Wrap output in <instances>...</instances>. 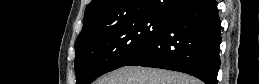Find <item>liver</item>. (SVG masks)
<instances>
[{"mask_svg":"<svg viewBox=\"0 0 260 84\" xmlns=\"http://www.w3.org/2000/svg\"><path fill=\"white\" fill-rule=\"evenodd\" d=\"M95 84H201L196 78L175 71L125 66L107 73Z\"/></svg>","mask_w":260,"mask_h":84,"instance_id":"liver-1","label":"liver"}]
</instances>
